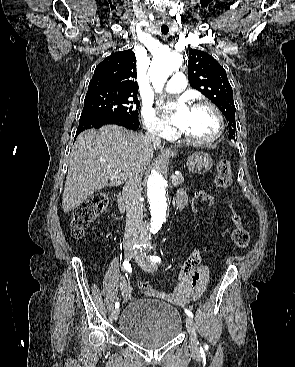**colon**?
Listing matches in <instances>:
<instances>
[{"mask_svg": "<svg viewBox=\"0 0 295 367\" xmlns=\"http://www.w3.org/2000/svg\"><path fill=\"white\" fill-rule=\"evenodd\" d=\"M232 183L231 166L227 160H220L217 164L216 185L226 189ZM215 195H192L190 197L192 212H205L210 206L217 202ZM108 205V195L105 192H97L84 199L71 214V230L74 238H81L85 234L88 226L95 221ZM231 220L234 223V230L231 237L238 249H245L250 241L248 231L243 227L241 216L231 208ZM141 289L146 294H152L153 290L147 281L140 282Z\"/></svg>", "mask_w": 295, "mask_h": 367, "instance_id": "5ec220e1", "label": "colon"}]
</instances>
